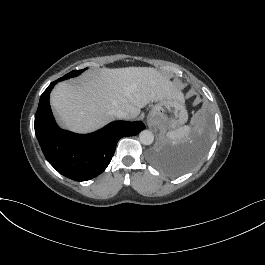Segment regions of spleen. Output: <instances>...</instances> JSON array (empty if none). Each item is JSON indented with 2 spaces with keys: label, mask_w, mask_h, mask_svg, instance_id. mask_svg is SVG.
I'll return each instance as SVG.
<instances>
[{
  "label": "spleen",
  "mask_w": 265,
  "mask_h": 265,
  "mask_svg": "<svg viewBox=\"0 0 265 265\" xmlns=\"http://www.w3.org/2000/svg\"><path fill=\"white\" fill-rule=\"evenodd\" d=\"M192 132L193 129L190 126L185 125L174 131L168 132L166 136L170 140L172 145H179L188 142L190 140Z\"/></svg>",
  "instance_id": "3e777b00"
}]
</instances>
